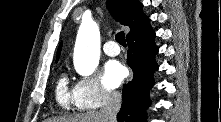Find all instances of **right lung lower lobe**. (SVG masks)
<instances>
[{
    "label": "right lung lower lobe",
    "mask_w": 221,
    "mask_h": 122,
    "mask_svg": "<svg viewBox=\"0 0 221 122\" xmlns=\"http://www.w3.org/2000/svg\"><path fill=\"white\" fill-rule=\"evenodd\" d=\"M155 32L148 25L138 34L127 38L128 65L134 76L123 86L122 107L117 114L118 122H144L145 109L149 105V91L154 85L153 72L158 69L154 56L158 48L154 43Z\"/></svg>",
    "instance_id": "98d812e1"
}]
</instances>
